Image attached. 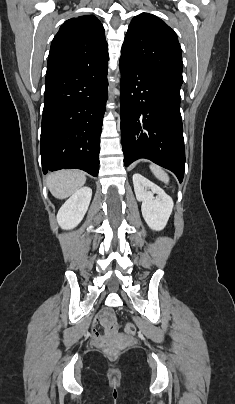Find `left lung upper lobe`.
I'll use <instances>...</instances> for the list:
<instances>
[{"label":"left lung upper lobe","instance_id":"obj_1","mask_svg":"<svg viewBox=\"0 0 235 404\" xmlns=\"http://www.w3.org/2000/svg\"><path fill=\"white\" fill-rule=\"evenodd\" d=\"M121 56L141 67L183 82L182 51L177 35L152 14L141 13L132 19Z\"/></svg>","mask_w":235,"mask_h":404}]
</instances>
